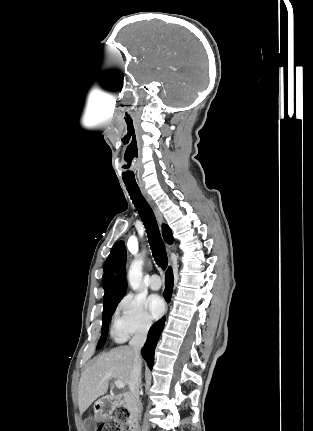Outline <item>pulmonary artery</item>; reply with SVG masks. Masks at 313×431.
<instances>
[{"instance_id":"e3ab8cb5","label":"pulmonary artery","mask_w":313,"mask_h":431,"mask_svg":"<svg viewBox=\"0 0 313 431\" xmlns=\"http://www.w3.org/2000/svg\"><path fill=\"white\" fill-rule=\"evenodd\" d=\"M149 287L152 290H158L161 287V279L157 274L151 275L149 279Z\"/></svg>"}]
</instances>
